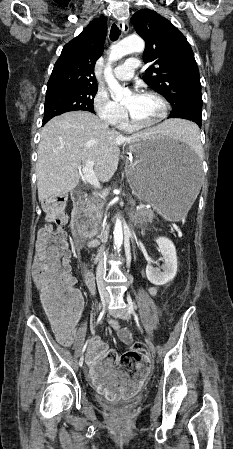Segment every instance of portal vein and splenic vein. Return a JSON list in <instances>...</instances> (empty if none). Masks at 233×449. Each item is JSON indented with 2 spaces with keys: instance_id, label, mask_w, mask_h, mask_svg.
I'll return each instance as SVG.
<instances>
[{
  "instance_id": "1",
  "label": "portal vein and splenic vein",
  "mask_w": 233,
  "mask_h": 449,
  "mask_svg": "<svg viewBox=\"0 0 233 449\" xmlns=\"http://www.w3.org/2000/svg\"><path fill=\"white\" fill-rule=\"evenodd\" d=\"M94 164L93 160H89L84 165L80 166L79 169H82L84 178L88 183L100 189V183L93 170Z\"/></svg>"
}]
</instances>
